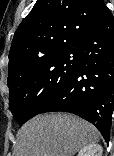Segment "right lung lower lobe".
<instances>
[{
    "label": "right lung lower lobe",
    "mask_w": 114,
    "mask_h": 156,
    "mask_svg": "<svg viewBox=\"0 0 114 156\" xmlns=\"http://www.w3.org/2000/svg\"><path fill=\"white\" fill-rule=\"evenodd\" d=\"M79 66L63 92L41 113H74L109 141L114 108V18L110 11L76 44Z\"/></svg>",
    "instance_id": "obj_1"
}]
</instances>
